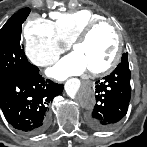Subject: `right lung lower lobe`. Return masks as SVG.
Returning a JSON list of instances; mask_svg holds the SVG:
<instances>
[{
    "label": "right lung lower lobe",
    "mask_w": 147,
    "mask_h": 147,
    "mask_svg": "<svg viewBox=\"0 0 147 147\" xmlns=\"http://www.w3.org/2000/svg\"><path fill=\"white\" fill-rule=\"evenodd\" d=\"M62 91V84L44 80L35 66L0 80V108L15 129L39 134L48 127V104Z\"/></svg>",
    "instance_id": "98d812e1"
}]
</instances>
